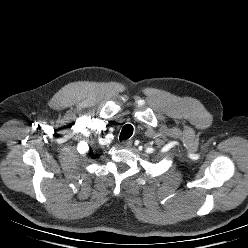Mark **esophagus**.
Returning a JSON list of instances; mask_svg holds the SVG:
<instances>
[{
    "instance_id": "34e87169",
    "label": "esophagus",
    "mask_w": 248,
    "mask_h": 248,
    "mask_svg": "<svg viewBox=\"0 0 248 248\" xmlns=\"http://www.w3.org/2000/svg\"><path fill=\"white\" fill-rule=\"evenodd\" d=\"M123 146L127 147V148L131 147L132 146V141L129 140V141L123 142Z\"/></svg>"
}]
</instances>
